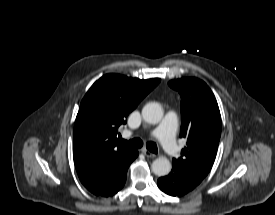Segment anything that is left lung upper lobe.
<instances>
[{"mask_svg": "<svg viewBox=\"0 0 275 215\" xmlns=\"http://www.w3.org/2000/svg\"><path fill=\"white\" fill-rule=\"evenodd\" d=\"M169 86L181 96L180 137L187 139L181 157L173 164L205 178L214 163L221 135V116L210 88L197 78L172 80Z\"/></svg>", "mask_w": 275, "mask_h": 215, "instance_id": "obj_1", "label": "left lung upper lobe"}]
</instances>
